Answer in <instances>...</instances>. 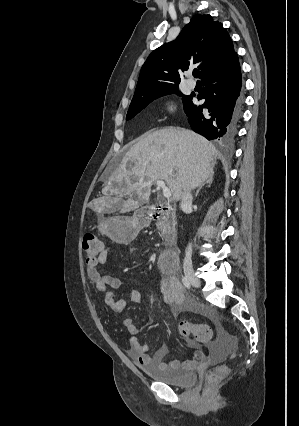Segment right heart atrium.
Listing matches in <instances>:
<instances>
[{
    "label": "right heart atrium",
    "instance_id": "right-heart-atrium-1",
    "mask_svg": "<svg viewBox=\"0 0 299 426\" xmlns=\"http://www.w3.org/2000/svg\"><path fill=\"white\" fill-rule=\"evenodd\" d=\"M162 110L166 113H172L175 110V105L170 99H165L161 104Z\"/></svg>",
    "mask_w": 299,
    "mask_h": 426
}]
</instances>
